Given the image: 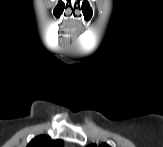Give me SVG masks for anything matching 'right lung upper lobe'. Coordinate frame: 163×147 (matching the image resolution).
<instances>
[{
    "mask_svg": "<svg viewBox=\"0 0 163 147\" xmlns=\"http://www.w3.org/2000/svg\"><path fill=\"white\" fill-rule=\"evenodd\" d=\"M63 141L52 140L46 135H40L31 140L27 147H62Z\"/></svg>",
    "mask_w": 163,
    "mask_h": 147,
    "instance_id": "right-lung-upper-lobe-1",
    "label": "right lung upper lobe"
}]
</instances>
